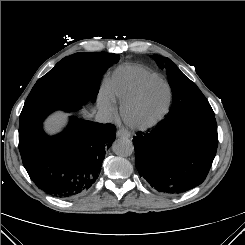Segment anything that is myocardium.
Returning <instances> with one entry per match:
<instances>
[{
  "mask_svg": "<svg viewBox=\"0 0 245 245\" xmlns=\"http://www.w3.org/2000/svg\"><path fill=\"white\" fill-rule=\"evenodd\" d=\"M155 83L162 84L166 89L167 95H166V100H165L163 107L155 116H153L152 118L148 120H144V121L134 120L130 116V110L141 101L147 88ZM171 96H172L171 88L165 80H163L160 77L147 80L139 87V89L135 92V94L132 97H130L129 99H127L125 102L122 103L121 116L124 122L132 129L148 130L154 127L155 125H157L165 117V115L167 114L169 110V106L171 103Z\"/></svg>",
  "mask_w": 245,
  "mask_h": 245,
  "instance_id": "obj_1",
  "label": "myocardium"
}]
</instances>
